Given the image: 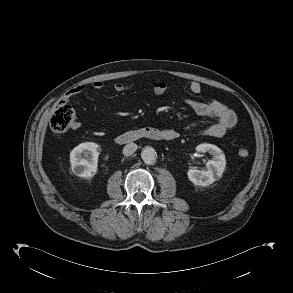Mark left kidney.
<instances>
[{
  "mask_svg": "<svg viewBox=\"0 0 293 293\" xmlns=\"http://www.w3.org/2000/svg\"><path fill=\"white\" fill-rule=\"evenodd\" d=\"M196 150L202 153L208 152L212 155V160L207 162L208 169L206 171L189 169L187 175L194 185L208 186L222 176L226 166L225 155L220 148L213 144H200Z\"/></svg>",
  "mask_w": 293,
  "mask_h": 293,
  "instance_id": "5707ae66",
  "label": "left kidney"
}]
</instances>
